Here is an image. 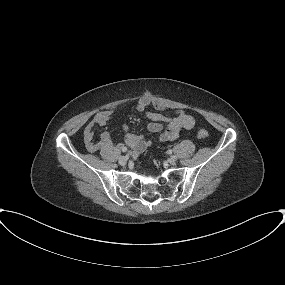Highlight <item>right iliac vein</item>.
I'll return each instance as SVG.
<instances>
[{
  "mask_svg": "<svg viewBox=\"0 0 285 285\" xmlns=\"http://www.w3.org/2000/svg\"><path fill=\"white\" fill-rule=\"evenodd\" d=\"M127 161H128V157L127 156H121L119 158V164L120 165H125L127 163Z\"/></svg>",
  "mask_w": 285,
  "mask_h": 285,
  "instance_id": "right-iliac-vein-1",
  "label": "right iliac vein"
}]
</instances>
